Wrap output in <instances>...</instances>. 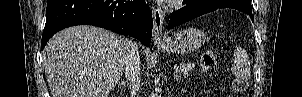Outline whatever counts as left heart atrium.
Masks as SVG:
<instances>
[{
  "label": "left heart atrium",
  "mask_w": 302,
  "mask_h": 97,
  "mask_svg": "<svg viewBox=\"0 0 302 97\" xmlns=\"http://www.w3.org/2000/svg\"><path fill=\"white\" fill-rule=\"evenodd\" d=\"M180 0H168V2H171V3H177L179 2Z\"/></svg>",
  "instance_id": "obj_1"
}]
</instances>
